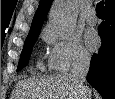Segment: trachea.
<instances>
[{"instance_id":"obj_1","label":"trachea","mask_w":115,"mask_h":99,"mask_svg":"<svg viewBox=\"0 0 115 99\" xmlns=\"http://www.w3.org/2000/svg\"><path fill=\"white\" fill-rule=\"evenodd\" d=\"M104 1H100L96 6V13L98 16H102L104 14Z\"/></svg>"}]
</instances>
